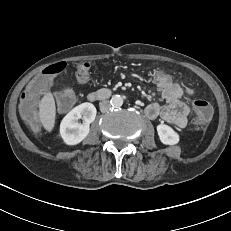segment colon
Listing matches in <instances>:
<instances>
[{"mask_svg":"<svg viewBox=\"0 0 231 231\" xmlns=\"http://www.w3.org/2000/svg\"><path fill=\"white\" fill-rule=\"evenodd\" d=\"M65 63L59 62L45 68L43 73L37 75L34 80H30L25 85V91L20 100V111L23 118L32 128L38 127L36 116V105L42 91H46L51 86L50 77L59 74L65 69ZM91 65L89 62L78 64L75 72L78 83H85L90 74ZM151 80L156 82L172 83L178 86L180 81L170 72L156 71L151 73ZM76 101L75 93L70 88H65L55 95L56 107L59 112L69 111ZM194 121L197 126H206L212 118L213 108L205 100L197 99L193 102Z\"/></svg>","mask_w":231,"mask_h":231,"instance_id":"1","label":"colon"}]
</instances>
